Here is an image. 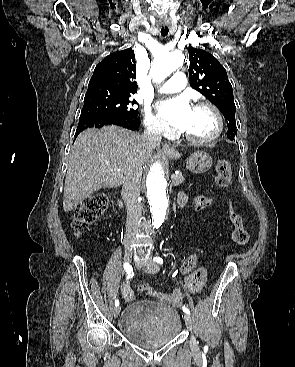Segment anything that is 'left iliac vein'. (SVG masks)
Segmentation results:
<instances>
[{
    "label": "left iliac vein",
    "instance_id": "4c4485c4",
    "mask_svg": "<svg viewBox=\"0 0 295 367\" xmlns=\"http://www.w3.org/2000/svg\"><path fill=\"white\" fill-rule=\"evenodd\" d=\"M144 268L147 272H149L151 274H155L159 271V266L155 262L145 263ZM184 320H185V324H186L187 328L192 332L191 341H190L191 350L193 351V353H198L199 352L198 343H197L196 338L193 334V330H194L193 319L189 314H185L184 315Z\"/></svg>",
    "mask_w": 295,
    "mask_h": 367
}]
</instances>
